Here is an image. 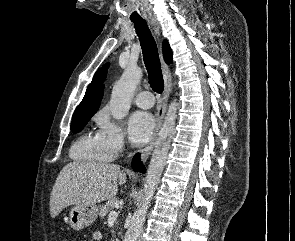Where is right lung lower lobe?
<instances>
[{"instance_id":"98d812e1","label":"right lung lower lobe","mask_w":295,"mask_h":241,"mask_svg":"<svg viewBox=\"0 0 295 241\" xmlns=\"http://www.w3.org/2000/svg\"><path fill=\"white\" fill-rule=\"evenodd\" d=\"M132 168L135 171H137V172H141V173H145L146 172V169H145L144 165L140 161V154H136L133 157V160H132Z\"/></svg>"}]
</instances>
